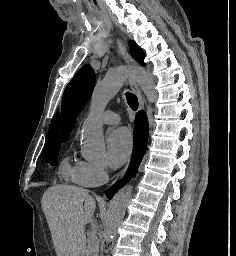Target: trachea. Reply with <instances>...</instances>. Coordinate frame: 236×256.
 Returning <instances> with one entry per match:
<instances>
[{"instance_id":"1","label":"trachea","mask_w":236,"mask_h":256,"mask_svg":"<svg viewBox=\"0 0 236 256\" xmlns=\"http://www.w3.org/2000/svg\"><path fill=\"white\" fill-rule=\"evenodd\" d=\"M126 100L132 110H137L138 98L136 95H134L133 93H126Z\"/></svg>"}]
</instances>
